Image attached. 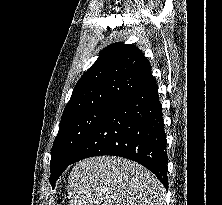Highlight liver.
Here are the masks:
<instances>
[{"label":"liver","instance_id":"1","mask_svg":"<svg viewBox=\"0 0 222 205\" xmlns=\"http://www.w3.org/2000/svg\"><path fill=\"white\" fill-rule=\"evenodd\" d=\"M69 205H163L165 188L130 160L97 156L78 162L68 180Z\"/></svg>","mask_w":222,"mask_h":205}]
</instances>
